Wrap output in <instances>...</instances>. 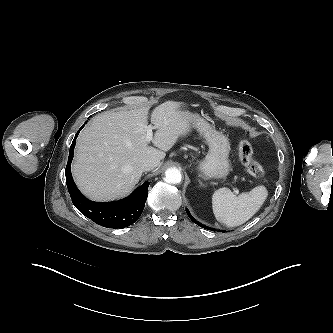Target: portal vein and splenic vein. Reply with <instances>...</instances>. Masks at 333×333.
<instances>
[{"mask_svg": "<svg viewBox=\"0 0 333 333\" xmlns=\"http://www.w3.org/2000/svg\"><path fill=\"white\" fill-rule=\"evenodd\" d=\"M152 130H153V127L151 125H148L146 127V137H145V140L147 142H150L152 140V138H153V132H152ZM236 192H238V191L236 190Z\"/></svg>", "mask_w": 333, "mask_h": 333, "instance_id": "obj_1", "label": "portal vein and splenic vein"}]
</instances>
